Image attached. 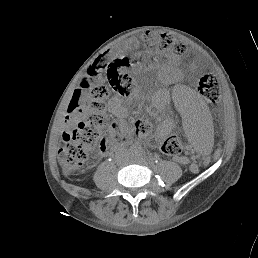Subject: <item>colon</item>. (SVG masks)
<instances>
[{"mask_svg": "<svg viewBox=\"0 0 258 258\" xmlns=\"http://www.w3.org/2000/svg\"><path fill=\"white\" fill-rule=\"evenodd\" d=\"M145 44L150 48L155 46L164 50L170 49L174 53L181 52L180 47L168 34L148 35L145 37ZM107 84L124 96L131 94L134 85L127 72V65L123 61L105 57L96 59L74 93L70 109L74 112L82 109L84 117L81 127L68 136L59 151V161L65 175L77 173L90 152L109 149L120 144V132L109 135L102 131L108 97ZM198 91L210 102L216 103L220 99L219 82L214 75L202 76L198 82ZM134 133L144 140L153 139L150 124L143 120L135 123ZM157 147L168 156H177L182 152L180 139L173 135L160 139Z\"/></svg>", "mask_w": 258, "mask_h": 258, "instance_id": "obj_1", "label": "colon"}]
</instances>
